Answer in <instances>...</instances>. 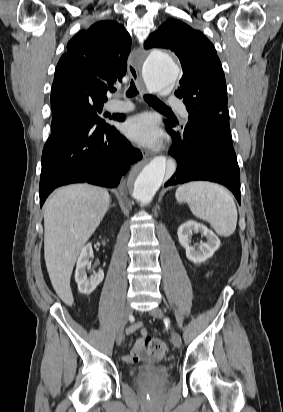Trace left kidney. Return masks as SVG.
Wrapping results in <instances>:
<instances>
[{
    "instance_id": "obj_1",
    "label": "left kidney",
    "mask_w": 283,
    "mask_h": 412,
    "mask_svg": "<svg viewBox=\"0 0 283 412\" xmlns=\"http://www.w3.org/2000/svg\"><path fill=\"white\" fill-rule=\"evenodd\" d=\"M193 232H201L207 238V242L202 243L197 249L190 245L189 237ZM177 234L180 245L186 250V257L195 264L202 263L212 257L220 246V240L217 235L205 225L195 221H188L182 224L178 228Z\"/></svg>"
}]
</instances>
